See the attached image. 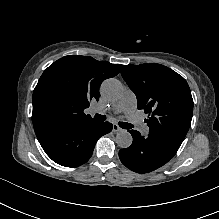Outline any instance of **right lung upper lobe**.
Instances as JSON below:
<instances>
[{
	"instance_id": "1",
	"label": "right lung upper lobe",
	"mask_w": 219,
	"mask_h": 219,
	"mask_svg": "<svg viewBox=\"0 0 219 219\" xmlns=\"http://www.w3.org/2000/svg\"><path fill=\"white\" fill-rule=\"evenodd\" d=\"M122 65L69 55L51 64L33 92L32 122L91 121L84 110L100 97L99 86L114 77Z\"/></svg>"
}]
</instances>
